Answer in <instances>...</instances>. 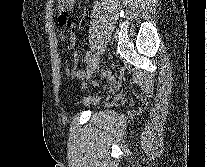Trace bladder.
<instances>
[{
    "label": "bladder",
    "instance_id": "obj_1",
    "mask_svg": "<svg viewBox=\"0 0 207 167\" xmlns=\"http://www.w3.org/2000/svg\"><path fill=\"white\" fill-rule=\"evenodd\" d=\"M103 100V96L99 93L88 94L80 99L77 105L81 108H89L98 105Z\"/></svg>",
    "mask_w": 207,
    "mask_h": 167
}]
</instances>
